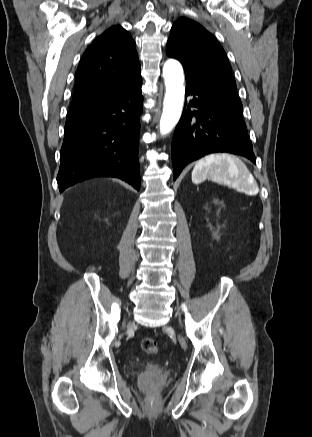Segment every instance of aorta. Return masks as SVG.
<instances>
[{"label":"aorta","mask_w":312,"mask_h":437,"mask_svg":"<svg viewBox=\"0 0 312 437\" xmlns=\"http://www.w3.org/2000/svg\"><path fill=\"white\" fill-rule=\"evenodd\" d=\"M166 94L160 119V133L166 135L178 123L184 103V74L181 64L174 59L166 61L163 67Z\"/></svg>","instance_id":"762f6f07"}]
</instances>
